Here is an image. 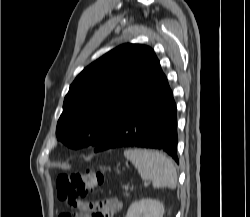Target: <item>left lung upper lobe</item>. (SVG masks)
Segmentation results:
<instances>
[{"instance_id": "left-lung-upper-lobe-1", "label": "left lung upper lobe", "mask_w": 250, "mask_h": 217, "mask_svg": "<svg viewBox=\"0 0 250 217\" xmlns=\"http://www.w3.org/2000/svg\"><path fill=\"white\" fill-rule=\"evenodd\" d=\"M156 61L150 47L128 43L86 67L64 99L58 139L72 149L97 146Z\"/></svg>"}]
</instances>
